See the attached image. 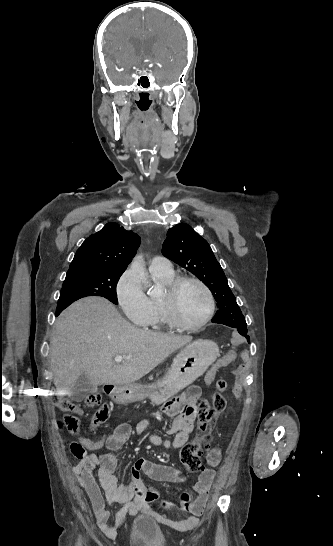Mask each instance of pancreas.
<instances>
[{"label":"pancreas","instance_id":"obj_1","mask_svg":"<svg viewBox=\"0 0 333 546\" xmlns=\"http://www.w3.org/2000/svg\"><path fill=\"white\" fill-rule=\"evenodd\" d=\"M149 379H150V380H152V379H153V377H152V376H150V378H149Z\"/></svg>","mask_w":333,"mask_h":546}]
</instances>
